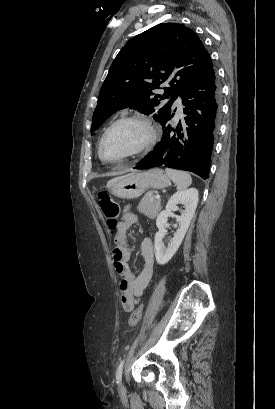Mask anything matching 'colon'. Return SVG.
I'll list each match as a JSON object with an SVG mask.
<instances>
[{
    "instance_id": "obj_1",
    "label": "colon",
    "mask_w": 275,
    "mask_h": 409,
    "mask_svg": "<svg viewBox=\"0 0 275 409\" xmlns=\"http://www.w3.org/2000/svg\"><path fill=\"white\" fill-rule=\"evenodd\" d=\"M98 204L102 214L105 217L107 226L113 232L118 226L119 205L108 193L98 195ZM143 315V306L134 309L128 319L129 327H135Z\"/></svg>"
}]
</instances>
